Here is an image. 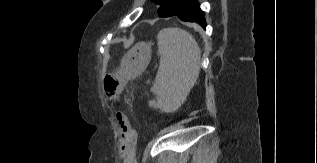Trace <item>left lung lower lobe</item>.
Returning a JSON list of instances; mask_svg holds the SVG:
<instances>
[{"mask_svg":"<svg viewBox=\"0 0 317 163\" xmlns=\"http://www.w3.org/2000/svg\"><path fill=\"white\" fill-rule=\"evenodd\" d=\"M171 16H177L182 21L196 22L206 29L204 12L200 9L197 0H184L179 9Z\"/></svg>","mask_w":317,"mask_h":163,"instance_id":"left-lung-lower-lobe-1","label":"left lung lower lobe"}]
</instances>
